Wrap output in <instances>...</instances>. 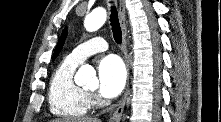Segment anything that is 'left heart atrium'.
<instances>
[{
  "label": "left heart atrium",
  "mask_w": 221,
  "mask_h": 122,
  "mask_svg": "<svg viewBox=\"0 0 221 122\" xmlns=\"http://www.w3.org/2000/svg\"><path fill=\"white\" fill-rule=\"evenodd\" d=\"M99 94L112 98L120 94L126 81V70L122 60L116 55L104 57L98 65Z\"/></svg>",
  "instance_id": "obj_1"
}]
</instances>
